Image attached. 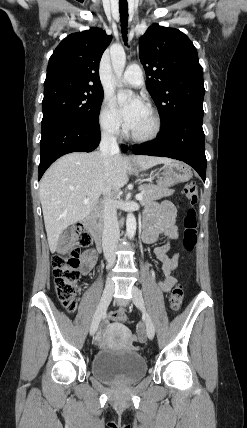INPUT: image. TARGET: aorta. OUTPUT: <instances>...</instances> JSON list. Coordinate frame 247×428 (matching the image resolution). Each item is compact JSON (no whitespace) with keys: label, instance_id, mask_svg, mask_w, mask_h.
<instances>
[{"label":"aorta","instance_id":"1","mask_svg":"<svg viewBox=\"0 0 247 428\" xmlns=\"http://www.w3.org/2000/svg\"><path fill=\"white\" fill-rule=\"evenodd\" d=\"M113 71L116 77L121 78L125 64L126 55L121 46H115L110 51ZM122 99L120 98L119 101ZM136 233V218L132 212H129L126 218V234L129 239H132Z\"/></svg>","mask_w":247,"mask_h":428}]
</instances>
